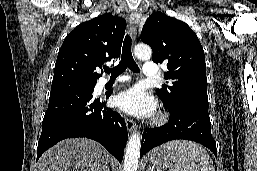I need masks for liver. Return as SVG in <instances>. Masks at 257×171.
<instances>
[{
    "label": "liver",
    "mask_w": 257,
    "mask_h": 171,
    "mask_svg": "<svg viewBox=\"0 0 257 171\" xmlns=\"http://www.w3.org/2000/svg\"><path fill=\"white\" fill-rule=\"evenodd\" d=\"M109 153L99 143L84 139H66L44 152L38 171H106Z\"/></svg>",
    "instance_id": "1"
}]
</instances>
